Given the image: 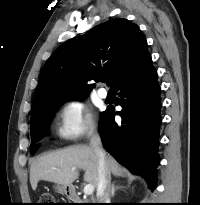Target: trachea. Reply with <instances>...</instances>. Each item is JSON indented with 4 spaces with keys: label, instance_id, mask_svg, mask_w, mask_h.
Returning <instances> with one entry per match:
<instances>
[{
    "label": "trachea",
    "instance_id": "trachea-1",
    "mask_svg": "<svg viewBox=\"0 0 200 205\" xmlns=\"http://www.w3.org/2000/svg\"><path fill=\"white\" fill-rule=\"evenodd\" d=\"M107 81H108V77L107 76L103 77L102 82L106 83Z\"/></svg>",
    "mask_w": 200,
    "mask_h": 205
}]
</instances>
